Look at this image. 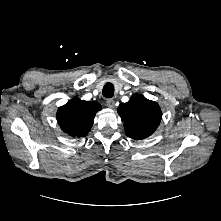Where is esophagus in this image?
I'll use <instances>...</instances> for the list:
<instances>
[{"mask_svg":"<svg viewBox=\"0 0 221 221\" xmlns=\"http://www.w3.org/2000/svg\"><path fill=\"white\" fill-rule=\"evenodd\" d=\"M106 105L109 107V108H114L115 107V101L113 99H107L106 100Z\"/></svg>","mask_w":221,"mask_h":221,"instance_id":"34e87169","label":"esophagus"}]
</instances>
